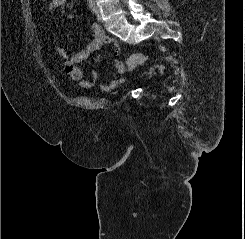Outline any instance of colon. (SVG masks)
<instances>
[{"label": "colon", "instance_id": "colon-1", "mask_svg": "<svg viewBox=\"0 0 245 239\" xmlns=\"http://www.w3.org/2000/svg\"><path fill=\"white\" fill-rule=\"evenodd\" d=\"M146 60H147V56L143 54H135V55H132L127 60V65L129 68H133L137 65H142Z\"/></svg>", "mask_w": 245, "mask_h": 239}]
</instances>
